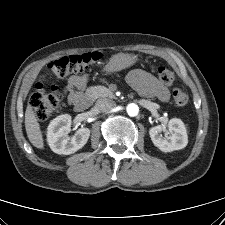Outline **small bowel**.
I'll return each mask as SVG.
<instances>
[{"label":"small bowel","instance_id":"small-bowel-1","mask_svg":"<svg viewBox=\"0 0 225 225\" xmlns=\"http://www.w3.org/2000/svg\"><path fill=\"white\" fill-rule=\"evenodd\" d=\"M130 85L144 97H157L161 101L169 99V90L167 86L158 80L151 73L136 69L128 74ZM89 81L87 75H72L69 77L64 87V94L69 105L75 103L83 96V91Z\"/></svg>","mask_w":225,"mask_h":225}]
</instances>
